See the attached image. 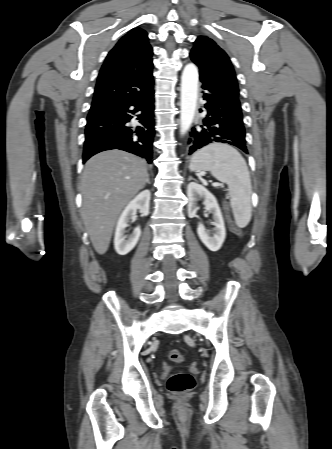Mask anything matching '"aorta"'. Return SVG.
<instances>
[{"label": "aorta", "mask_w": 332, "mask_h": 449, "mask_svg": "<svg viewBox=\"0 0 332 449\" xmlns=\"http://www.w3.org/2000/svg\"><path fill=\"white\" fill-rule=\"evenodd\" d=\"M198 80V68L192 63L187 64L181 77V135L189 130L194 119L198 97Z\"/></svg>", "instance_id": "obj_1"}]
</instances>
